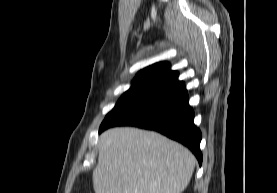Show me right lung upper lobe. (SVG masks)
<instances>
[{
  "label": "right lung upper lobe",
  "mask_w": 277,
  "mask_h": 193,
  "mask_svg": "<svg viewBox=\"0 0 277 193\" xmlns=\"http://www.w3.org/2000/svg\"><path fill=\"white\" fill-rule=\"evenodd\" d=\"M177 82L178 72L170 70L169 63L160 62L139 71L128 91L150 94Z\"/></svg>",
  "instance_id": "right-lung-upper-lobe-1"
}]
</instances>
